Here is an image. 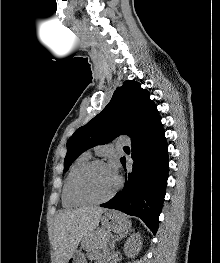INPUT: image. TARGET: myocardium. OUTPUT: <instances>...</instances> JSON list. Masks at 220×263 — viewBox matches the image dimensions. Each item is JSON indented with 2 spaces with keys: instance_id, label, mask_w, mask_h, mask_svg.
<instances>
[{
  "instance_id": "1",
  "label": "myocardium",
  "mask_w": 220,
  "mask_h": 263,
  "mask_svg": "<svg viewBox=\"0 0 220 263\" xmlns=\"http://www.w3.org/2000/svg\"><path fill=\"white\" fill-rule=\"evenodd\" d=\"M97 165H107L103 160H91L85 163L81 168L77 170V172L74 174L71 184H70V194L74 201L80 203V204H101L104 202H107L108 200L112 199L117 192L120 190L122 186V178L120 176H117V184L115 188L106 196L98 199L88 198L83 195H81L78 191V183L81 177L92 167Z\"/></svg>"
}]
</instances>
